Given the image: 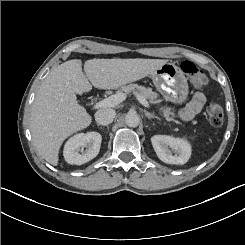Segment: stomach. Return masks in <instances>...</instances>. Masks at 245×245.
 Masks as SVG:
<instances>
[{
  "mask_svg": "<svg viewBox=\"0 0 245 245\" xmlns=\"http://www.w3.org/2000/svg\"><path fill=\"white\" fill-rule=\"evenodd\" d=\"M150 76L156 89L167 100L178 103L186 98L188 93L187 81L178 66L172 63H165L150 72Z\"/></svg>",
  "mask_w": 245,
  "mask_h": 245,
  "instance_id": "obj_1",
  "label": "stomach"
}]
</instances>
